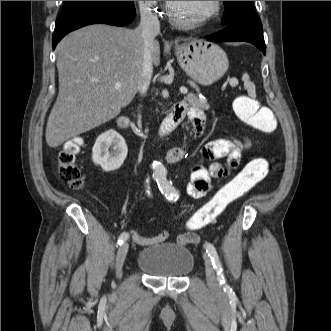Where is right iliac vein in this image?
<instances>
[{
	"instance_id": "right-iliac-vein-1",
	"label": "right iliac vein",
	"mask_w": 331,
	"mask_h": 331,
	"mask_svg": "<svg viewBox=\"0 0 331 331\" xmlns=\"http://www.w3.org/2000/svg\"><path fill=\"white\" fill-rule=\"evenodd\" d=\"M129 245L128 243H123L117 252V257H116V273L118 277H121L122 275V267L128 252Z\"/></svg>"
}]
</instances>
